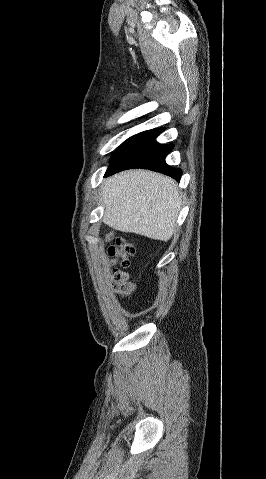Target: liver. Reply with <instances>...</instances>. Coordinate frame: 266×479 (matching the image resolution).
<instances>
[{
  "label": "liver",
  "instance_id": "6515ba94",
  "mask_svg": "<svg viewBox=\"0 0 266 479\" xmlns=\"http://www.w3.org/2000/svg\"><path fill=\"white\" fill-rule=\"evenodd\" d=\"M103 222L154 240L172 237L181 208L176 182L147 170H128L106 179L101 188Z\"/></svg>",
  "mask_w": 266,
  "mask_h": 479
}]
</instances>
